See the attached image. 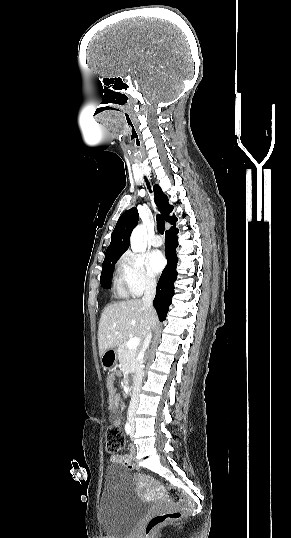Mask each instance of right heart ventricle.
<instances>
[{
    "instance_id": "right-heart-ventricle-1",
    "label": "right heart ventricle",
    "mask_w": 291,
    "mask_h": 538,
    "mask_svg": "<svg viewBox=\"0 0 291 538\" xmlns=\"http://www.w3.org/2000/svg\"><path fill=\"white\" fill-rule=\"evenodd\" d=\"M113 284L118 297L127 298L130 295V292L125 282L123 271L120 267L115 270Z\"/></svg>"
}]
</instances>
